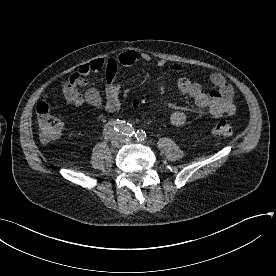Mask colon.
<instances>
[{
  "instance_id": "5ec220e1",
  "label": "colon",
  "mask_w": 276,
  "mask_h": 276,
  "mask_svg": "<svg viewBox=\"0 0 276 276\" xmlns=\"http://www.w3.org/2000/svg\"><path fill=\"white\" fill-rule=\"evenodd\" d=\"M144 97L141 98L143 100ZM139 105V100L133 101V106ZM36 117L42 142H50L61 134L62 122L59 117L52 114L49 104L43 100L36 105ZM233 133V127L226 120L217 121L212 127V134L219 138H228Z\"/></svg>"
}]
</instances>
